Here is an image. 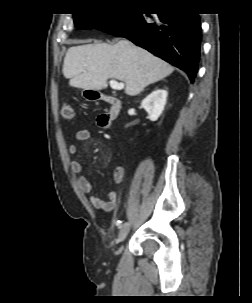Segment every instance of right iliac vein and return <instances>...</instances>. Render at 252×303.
Listing matches in <instances>:
<instances>
[{"label":"right iliac vein","mask_w":252,"mask_h":303,"mask_svg":"<svg viewBox=\"0 0 252 303\" xmlns=\"http://www.w3.org/2000/svg\"><path fill=\"white\" fill-rule=\"evenodd\" d=\"M130 227H131L130 222H125L120 226V231L118 236L119 241L125 240V238L127 237L130 231Z\"/></svg>","instance_id":"right-iliac-vein-1"}]
</instances>
